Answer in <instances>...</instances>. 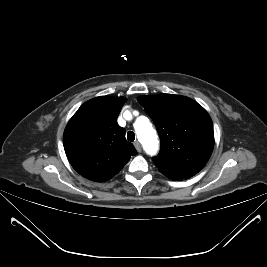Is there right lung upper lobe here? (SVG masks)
<instances>
[{"mask_svg":"<svg viewBox=\"0 0 267 267\" xmlns=\"http://www.w3.org/2000/svg\"><path fill=\"white\" fill-rule=\"evenodd\" d=\"M125 102L123 97H96L82 104L68 122L64 149L73 168L83 177L107 181L137 154L125 139V129L117 123Z\"/></svg>","mask_w":267,"mask_h":267,"instance_id":"cb5924a9","label":"right lung upper lobe"}]
</instances>
